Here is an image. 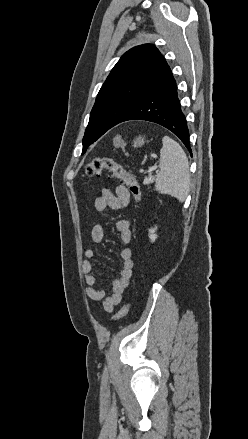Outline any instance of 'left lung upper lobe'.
Here are the masks:
<instances>
[{
    "label": "left lung upper lobe",
    "instance_id": "left-lung-upper-lobe-1",
    "mask_svg": "<svg viewBox=\"0 0 248 439\" xmlns=\"http://www.w3.org/2000/svg\"><path fill=\"white\" fill-rule=\"evenodd\" d=\"M167 67L153 44L136 46L122 55L96 97L83 137V153L132 110Z\"/></svg>",
    "mask_w": 248,
    "mask_h": 439
}]
</instances>
